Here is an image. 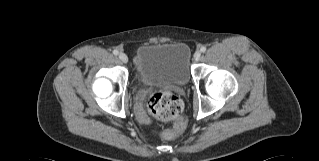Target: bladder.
<instances>
[{"mask_svg": "<svg viewBox=\"0 0 319 161\" xmlns=\"http://www.w3.org/2000/svg\"><path fill=\"white\" fill-rule=\"evenodd\" d=\"M142 84L185 86L191 78V51L184 43H145L135 54Z\"/></svg>", "mask_w": 319, "mask_h": 161, "instance_id": "1", "label": "bladder"}]
</instances>
